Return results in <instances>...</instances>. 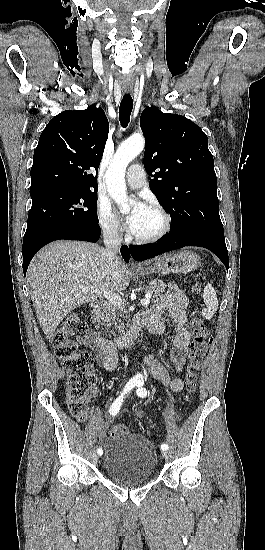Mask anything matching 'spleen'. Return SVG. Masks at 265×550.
<instances>
[{
    "mask_svg": "<svg viewBox=\"0 0 265 550\" xmlns=\"http://www.w3.org/2000/svg\"><path fill=\"white\" fill-rule=\"evenodd\" d=\"M203 299L206 304V308L203 310V317L210 320L218 309V299L211 284H207L205 286L203 291Z\"/></svg>",
    "mask_w": 265,
    "mask_h": 550,
    "instance_id": "spleen-1",
    "label": "spleen"
}]
</instances>
